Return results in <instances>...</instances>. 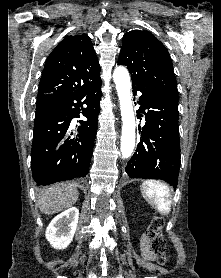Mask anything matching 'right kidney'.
Segmentation results:
<instances>
[{"label": "right kidney", "mask_w": 221, "mask_h": 278, "mask_svg": "<svg viewBox=\"0 0 221 278\" xmlns=\"http://www.w3.org/2000/svg\"><path fill=\"white\" fill-rule=\"evenodd\" d=\"M79 218V210L71 207L57 215L46 229V239L55 249H65L73 240Z\"/></svg>", "instance_id": "ca27d5eb"}]
</instances>
